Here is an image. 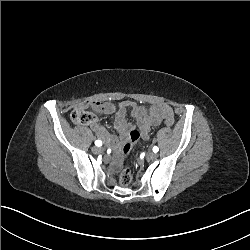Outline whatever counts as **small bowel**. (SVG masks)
<instances>
[{
	"label": "small bowel",
	"mask_w": 250,
	"mask_h": 250,
	"mask_svg": "<svg viewBox=\"0 0 250 250\" xmlns=\"http://www.w3.org/2000/svg\"><path fill=\"white\" fill-rule=\"evenodd\" d=\"M128 106L129 103L127 102L120 105L101 102H79L75 105V109H91L100 114L114 115V127L118 137L109 133L106 127L101 123H94L92 128L99 139L109 146L116 148L119 144L129 140L130 130L134 127L126 118ZM159 107H164L169 115L174 117L172 108L167 103H159L149 108L137 104L132 105L131 115L136 120L137 127L141 130L140 136L145 140L149 138L151 128L161 124V121L156 115V110Z\"/></svg>",
	"instance_id": "obj_1"
}]
</instances>
